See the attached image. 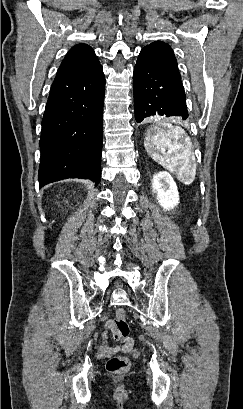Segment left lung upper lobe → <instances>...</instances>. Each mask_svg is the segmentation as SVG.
Wrapping results in <instances>:
<instances>
[{
	"instance_id": "5c2ea615",
	"label": "left lung upper lobe",
	"mask_w": 243,
	"mask_h": 409,
	"mask_svg": "<svg viewBox=\"0 0 243 409\" xmlns=\"http://www.w3.org/2000/svg\"><path fill=\"white\" fill-rule=\"evenodd\" d=\"M137 63L156 67L180 76L174 52L164 42H153L142 48Z\"/></svg>"
}]
</instances>
